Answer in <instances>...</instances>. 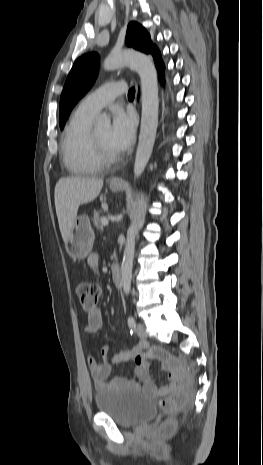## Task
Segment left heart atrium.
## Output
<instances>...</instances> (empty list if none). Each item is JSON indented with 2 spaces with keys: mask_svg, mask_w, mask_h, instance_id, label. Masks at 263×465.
<instances>
[{
  "mask_svg": "<svg viewBox=\"0 0 263 465\" xmlns=\"http://www.w3.org/2000/svg\"><path fill=\"white\" fill-rule=\"evenodd\" d=\"M135 133V119L122 108H115L112 115L109 142L116 152L125 150L132 142Z\"/></svg>",
  "mask_w": 263,
  "mask_h": 465,
  "instance_id": "1",
  "label": "left heart atrium"
}]
</instances>
